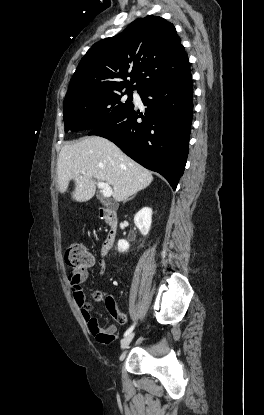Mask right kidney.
I'll return each mask as SVG.
<instances>
[{"mask_svg":"<svg viewBox=\"0 0 264 415\" xmlns=\"http://www.w3.org/2000/svg\"><path fill=\"white\" fill-rule=\"evenodd\" d=\"M134 223L143 236H146L152 223V209L149 207L142 208L134 217ZM129 249V243L126 240L118 241V251L126 252Z\"/></svg>","mask_w":264,"mask_h":415,"instance_id":"right-kidney-1","label":"right kidney"}]
</instances>
